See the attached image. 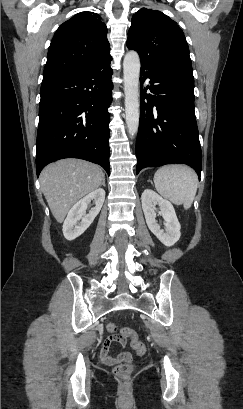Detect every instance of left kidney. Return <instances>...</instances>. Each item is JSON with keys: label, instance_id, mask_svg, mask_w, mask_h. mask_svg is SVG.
Here are the masks:
<instances>
[{"label": "left kidney", "instance_id": "left-kidney-1", "mask_svg": "<svg viewBox=\"0 0 243 409\" xmlns=\"http://www.w3.org/2000/svg\"><path fill=\"white\" fill-rule=\"evenodd\" d=\"M142 208L150 231L165 245L173 246L180 238V223L173 205L150 189L144 190L141 196ZM160 207V214L166 221L165 230L156 221L155 205Z\"/></svg>", "mask_w": 243, "mask_h": 409}]
</instances>
